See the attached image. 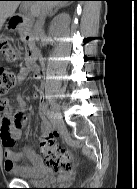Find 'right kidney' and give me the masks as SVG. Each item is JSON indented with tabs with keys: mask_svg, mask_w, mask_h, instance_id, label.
<instances>
[{
	"mask_svg": "<svg viewBox=\"0 0 137 189\" xmlns=\"http://www.w3.org/2000/svg\"><path fill=\"white\" fill-rule=\"evenodd\" d=\"M70 17L66 13H62L55 17L50 25V32L55 33L61 28L66 27L69 24Z\"/></svg>",
	"mask_w": 137,
	"mask_h": 189,
	"instance_id": "obj_1",
	"label": "right kidney"
}]
</instances>
